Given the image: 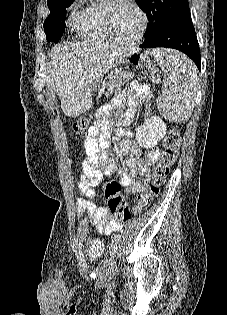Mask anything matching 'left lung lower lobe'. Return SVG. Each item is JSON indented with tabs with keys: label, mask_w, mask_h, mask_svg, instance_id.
I'll return each instance as SVG.
<instances>
[{
	"label": "left lung lower lobe",
	"mask_w": 227,
	"mask_h": 315,
	"mask_svg": "<svg viewBox=\"0 0 227 315\" xmlns=\"http://www.w3.org/2000/svg\"><path fill=\"white\" fill-rule=\"evenodd\" d=\"M141 48L167 47L187 54L201 70L200 49L190 16L167 23L150 37Z\"/></svg>",
	"instance_id": "0a47b994"
}]
</instances>
